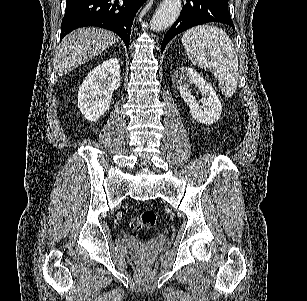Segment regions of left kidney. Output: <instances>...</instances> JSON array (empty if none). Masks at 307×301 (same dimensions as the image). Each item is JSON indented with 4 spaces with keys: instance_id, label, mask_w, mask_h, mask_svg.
I'll use <instances>...</instances> for the list:
<instances>
[{
    "instance_id": "obj_1",
    "label": "left kidney",
    "mask_w": 307,
    "mask_h": 301,
    "mask_svg": "<svg viewBox=\"0 0 307 301\" xmlns=\"http://www.w3.org/2000/svg\"><path fill=\"white\" fill-rule=\"evenodd\" d=\"M174 82L185 102H187L193 118L203 124H213L222 114V104L210 82L202 78L194 68L181 66L174 72ZM192 84L198 86L202 98L197 100L192 94Z\"/></svg>"
}]
</instances>
